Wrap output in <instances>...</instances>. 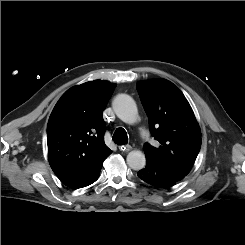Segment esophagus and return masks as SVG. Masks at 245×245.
Masks as SVG:
<instances>
[{"label": "esophagus", "mask_w": 245, "mask_h": 245, "mask_svg": "<svg viewBox=\"0 0 245 245\" xmlns=\"http://www.w3.org/2000/svg\"><path fill=\"white\" fill-rule=\"evenodd\" d=\"M119 149H120V151L128 152V151H130L132 149V147L127 144V145H121V146H119Z\"/></svg>", "instance_id": "esophagus-1"}]
</instances>
